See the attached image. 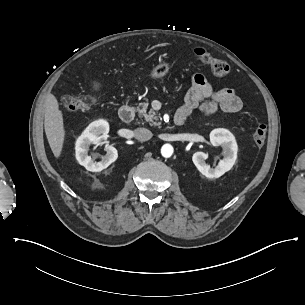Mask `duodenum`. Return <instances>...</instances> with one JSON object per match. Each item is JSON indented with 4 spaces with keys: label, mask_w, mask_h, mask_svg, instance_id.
<instances>
[{
    "label": "duodenum",
    "mask_w": 305,
    "mask_h": 305,
    "mask_svg": "<svg viewBox=\"0 0 305 305\" xmlns=\"http://www.w3.org/2000/svg\"><path fill=\"white\" fill-rule=\"evenodd\" d=\"M119 116L122 121L130 122L135 117V108L130 101H126L119 110ZM185 122V116L182 114H177L174 117V123L177 126H181Z\"/></svg>",
    "instance_id": "1"
}]
</instances>
